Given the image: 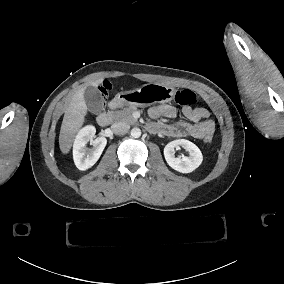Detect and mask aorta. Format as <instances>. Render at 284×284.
Masks as SVG:
<instances>
[{
  "label": "aorta",
  "instance_id": "aorta-1",
  "mask_svg": "<svg viewBox=\"0 0 284 284\" xmlns=\"http://www.w3.org/2000/svg\"><path fill=\"white\" fill-rule=\"evenodd\" d=\"M131 136L133 138H139L141 136V130L138 128V127H134L132 130H131Z\"/></svg>",
  "mask_w": 284,
  "mask_h": 284
}]
</instances>
